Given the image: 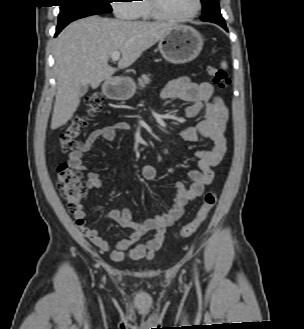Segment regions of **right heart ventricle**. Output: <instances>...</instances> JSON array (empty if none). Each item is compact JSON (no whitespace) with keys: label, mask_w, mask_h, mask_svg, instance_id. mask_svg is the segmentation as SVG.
<instances>
[{"label":"right heart ventricle","mask_w":304,"mask_h":329,"mask_svg":"<svg viewBox=\"0 0 304 329\" xmlns=\"http://www.w3.org/2000/svg\"><path fill=\"white\" fill-rule=\"evenodd\" d=\"M139 4H135V19L144 21L151 20L153 15L150 11L148 0H139Z\"/></svg>","instance_id":"1"}]
</instances>
